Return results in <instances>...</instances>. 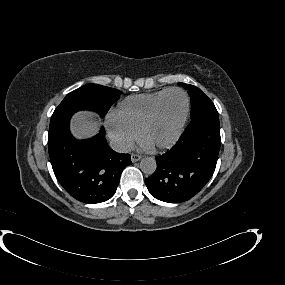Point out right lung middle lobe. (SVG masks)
Wrapping results in <instances>:
<instances>
[{
  "instance_id": "1",
  "label": "right lung middle lobe",
  "mask_w": 285,
  "mask_h": 285,
  "mask_svg": "<svg viewBox=\"0 0 285 285\" xmlns=\"http://www.w3.org/2000/svg\"><path fill=\"white\" fill-rule=\"evenodd\" d=\"M121 94L122 92L117 89L98 84L84 85L66 95L55 109L50 124L66 116H72L75 112L84 109L94 110L101 117H104Z\"/></svg>"
}]
</instances>
